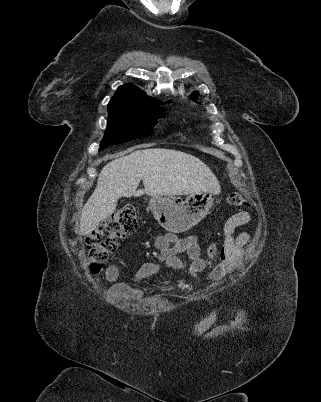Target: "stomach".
Masks as SVG:
<instances>
[{
  "label": "stomach",
  "mask_w": 321,
  "mask_h": 402,
  "mask_svg": "<svg viewBox=\"0 0 321 402\" xmlns=\"http://www.w3.org/2000/svg\"><path fill=\"white\" fill-rule=\"evenodd\" d=\"M217 193L202 191L185 200L178 196H152L149 207L158 223L167 231L182 233L197 225L214 205Z\"/></svg>",
  "instance_id": "stomach-1"
}]
</instances>
